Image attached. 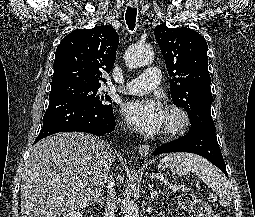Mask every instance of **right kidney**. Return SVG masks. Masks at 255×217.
<instances>
[{
  "label": "right kidney",
  "instance_id": "ca27d5eb",
  "mask_svg": "<svg viewBox=\"0 0 255 217\" xmlns=\"http://www.w3.org/2000/svg\"><path fill=\"white\" fill-rule=\"evenodd\" d=\"M63 217H83L82 213L79 211H71L68 212L65 216Z\"/></svg>",
  "mask_w": 255,
  "mask_h": 217
}]
</instances>
